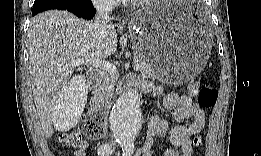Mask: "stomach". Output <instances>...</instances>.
<instances>
[{
	"instance_id": "1",
	"label": "stomach",
	"mask_w": 261,
	"mask_h": 156,
	"mask_svg": "<svg viewBox=\"0 0 261 156\" xmlns=\"http://www.w3.org/2000/svg\"><path fill=\"white\" fill-rule=\"evenodd\" d=\"M185 2H153L132 14L129 33L135 49L153 66L156 77L173 83L194 78L206 64L212 37L190 20Z\"/></svg>"
}]
</instances>
